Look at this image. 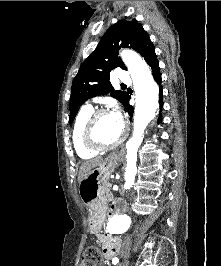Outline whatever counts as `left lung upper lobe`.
<instances>
[{
  "label": "left lung upper lobe",
  "instance_id": "left-lung-upper-lobe-1",
  "mask_svg": "<svg viewBox=\"0 0 221 266\" xmlns=\"http://www.w3.org/2000/svg\"><path fill=\"white\" fill-rule=\"evenodd\" d=\"M123 47L133 48L144 57L149 66L157 60L155 48L148 33L136 19L120 20L104 34L96 49L85 59L75 76L70 97V123L73 122L80 106L89 98L110 93L123 105L128 94L113 90L109 82L112 69L126 66L118 56Z\"/></svg>",
  "mask_w": 221,
  "mask_h": 266
}]
</instances>
